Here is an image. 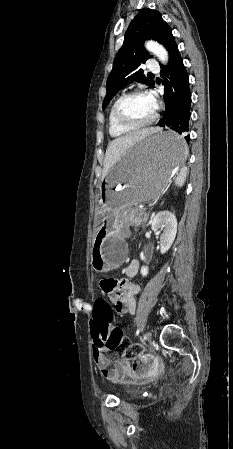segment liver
I'll return each instance as SVG.
<instances>
[{"label": "liver", "mask_w": 233, "mask_h": 449, "mask_svg": "<svg viewBox=\"0 0 233 449\" xmlns=\"http://www.w3.org/2000/svg\"><path fill=\"white\" fill-rule=\"evenodd\" d=\"M158 131L160 129L157 127L145 128L132 133H123L122 137L111 141L106 150L102 177L104 178L109 173L110 169L122 159L123 155L132 145Z\"/></svg>", "instance_id": "obj_1"}]
</instances>
